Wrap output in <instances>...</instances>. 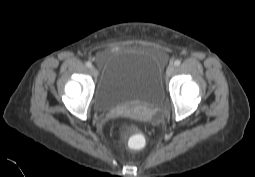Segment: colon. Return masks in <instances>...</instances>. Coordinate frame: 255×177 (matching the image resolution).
Masks as SVG:
<instances>
[{
	"label": "colon",
	"instance_id": "5ec220e1",
	"mask_svg": "<svg viewBox=\"0 0 255 177\" xmlns=\"http://www.w3.org/2000/svg\"><path fill=\"white\" fill-rule=\"evenodd\" d=\"M122 131L124 132H129L130 137H129V144L133 149H140L143 146V138L141 135H139L132 126L125 125L122 128Z\"/></svg>",
	"mask_w": 255,
	"mask_h": 177
}]
</instances>
